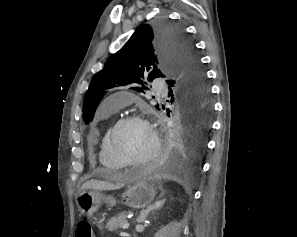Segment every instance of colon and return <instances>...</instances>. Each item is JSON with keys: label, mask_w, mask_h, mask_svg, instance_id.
I'll use <instances>...</instances> for the list:
<instances>
[{"label": "colon", "mask_w": 297, "mask_h": 237, "mask_svg": "<svg viewBox=\"0 0 297 237\" xmlns=\"http://www.w3.org/2000/svg\"><path fill=\"white\" fill-rule=\"evenodd\" d=\"M76 237H93L91 226L86 221H81L76 226Z\"/></svg>", "instance_id": "1"}]
</instances>
